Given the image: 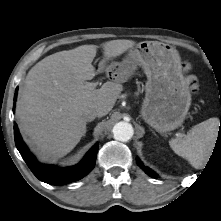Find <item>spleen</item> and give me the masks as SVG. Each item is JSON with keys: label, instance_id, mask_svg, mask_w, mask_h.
I'll use <instances>...</instances> for the list:
<instances>
[{"label": "spleen", "instance_id": "3e777b00", "mask_svg": "<svg viewBox=\"0 0 221 221\" xmlns=\"http://www.w3.org/2000/svg\"><path fill=\"white\" fill-rule=\"evenodd\" d=\"M218 130L219 120L210 118L192 127L185 136L171 139L169 145L194 168L201 169L212 154Z\"/></svg>", "mask_w": 221, "mask_h": 221}]
</instances>
